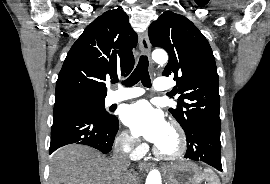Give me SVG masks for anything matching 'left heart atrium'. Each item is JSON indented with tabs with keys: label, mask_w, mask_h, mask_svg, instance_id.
Returning <instances> with one entry per match:
<instances>
[{
	"label": "left heart atrium",
	"mask_w": 270,
	"mask_h": 184,
	"mask_svg": "<svg viewBox=\"0 0 270 184\" xmlns=\"http://www.w3.org/2000/svg\"><path fill=\"white\" fill-rule=\"evenodd\" d=\"M123 121L134 136L144 138L155 145L163 140L169 130L162 112L145 100L127 106L123 113Z\"/></svg>",
	"instance_id": "39dd6f15"
}]
</instances>
